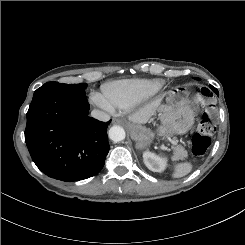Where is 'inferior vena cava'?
Returning <instances> with one entry per match:
<instances>
[{
	"label": "inferior vena cava",
	"instance_id": "inferior-vena-cava-1",
	"mask_svg": "<svg viewBox=\"0 0 245 245\" xmlns=\"http://www.w3.org/2000/svg\"><path fill=\"white\" fill-rule=\"evenodd\" d=\"M91 116L103 122H107L110 119V116L107 113L96 109L92 110Z\"/></svg>",
	"mask_w": 245,
	"mask_h": 245
}]
</instances>
